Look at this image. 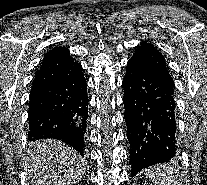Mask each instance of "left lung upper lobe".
Returning <instances> with one entry per match:
<instances>
[{"instance_id": "left-lung-upper-lobe-1", "label": "left lung upper lobe", "mask_w": 207, "mask_h": 185, "mask_svg": "<svg viewBox=\"0 0 207 185\" xmlns=\"http://www.w3.org/2000/svg\"><path fill=\"white\" fill-rule=\"evenodd\" d=\"M129 68L142 69L149 73L158 75L168 83L174 85L168 72L163 55L149 43H142L135 49V53L127 63Z\"/></svg>"}]
</instances>
